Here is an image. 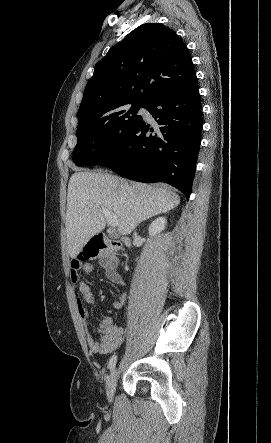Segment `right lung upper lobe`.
<instances>
[{
  "mask_svg": "<svg viewBox=\"0 0 271 443\" xmlns=\"http://www.w3.org/2000/svg\"><path fill=\"white\" fill-rule=\"evenodd\" d=\"M185 43L158 23L143 24L113 46L88 81L78 118H95L126 103H146L195 81Z\"/></svg>",
  "mask_w": 271,
  "mask_h": 443,
  "instance_id": "obj_1",
  "label": "right lung upper lobe"
}]
</instances>
